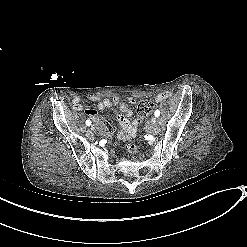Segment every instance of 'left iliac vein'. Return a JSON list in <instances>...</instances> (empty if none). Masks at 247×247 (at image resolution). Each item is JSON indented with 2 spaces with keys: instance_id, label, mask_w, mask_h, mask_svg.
<instances>
[{
  "instance_id": "1",
  "label": "left iliac vein",
  "mask_w": 247,
  "mask_h": 247,
  "mask_svg": "<svg viewBox=\"0 0 247 247\" xmlns=\"http://www.w3.org/2000/svg\"><path fill=\"white\" fill-rule=\"evenodd\" d=\"M157 119L155 116L151 118V124L154 125L156 123Z\"/></svg>"
}]
</instances>
